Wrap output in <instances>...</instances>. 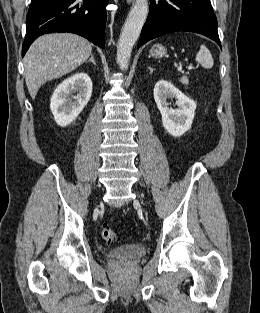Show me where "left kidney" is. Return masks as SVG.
Listing matches in <instances>:
<instances>
[{
  "instance_id": "1",
  "label": "left kidney",
  "mask_w": 260,
  "mask_h": 313,
  "mask_svg": "<svg viewBox=\"0 0 260 313\" xmlns=\"http://www.w3.org/2000/svg\"><path fill=\"white\" fill-rule=\"evenodd\" d=\"M168 98L176 99L177 109L169 108ZM154 100L162 115V124L169 134L179 137L191 128L196 103L179 89L165 80H160L154 87Z\"/></svg>"
}]
</instances>
